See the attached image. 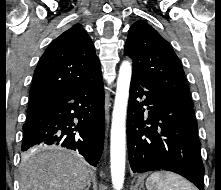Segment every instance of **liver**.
Returning a JSON list of instances; mask_svg holds the SVG:
<instances>
[{"label": "liver", "mask_w": 221, "mask_h": 190, "mask_svg": "<svg viewBox=\"0 0 221 190\" xmlns=\"http://www.w3.org/2000/svg\"><path fill=\"white\" fill-rule=\"evenodd\" d=\"M20 190H85L90 174L84 159L68 150L22 155Z\"/></svg>", "instance_id": "liver-1"}]
</instances>
